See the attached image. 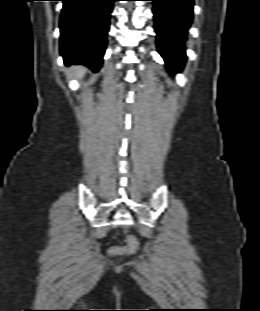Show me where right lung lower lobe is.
Listing matches in <instances>:
<instances>
[{"mask_svg": "<svg viewBox=\"0 0 260 311\" xmlns=\"http://www.w3.org/2000/svg\"><path fill=\"white\" fill-rule=\"evenodd\" d=\"M60 51L65 63L97 71L107 44L114 0H61Z\"/></svg>", "mask_w": 260, "mask_h": 311, "instance_id": "obj_1", "label": "right lung lower lobe"}]
</instances>
